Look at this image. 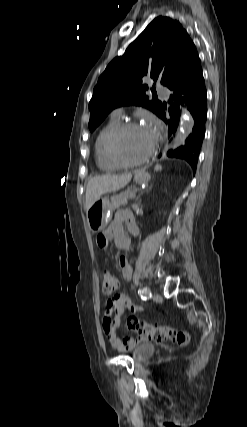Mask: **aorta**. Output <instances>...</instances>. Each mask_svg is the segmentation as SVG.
Here are the masks:
<instances>
[{
    "mask_svg": "<svg viewBox=\"0 0 247 427\" xmlns=\"http://www.w3.org/2000/svg\"><path fill=\"white\" fill-rule=\"evenodd\" d=\"M194 127V120L188 111L182 115L179 123L178 130L172 142V148L176 149L184 144L186 137L192 132Z\"/></svg>",
    "mask_w": 247,
    "mask_h": 427,
    "instance_id": "1",
    "label": "aorta"
}]
</instances>
